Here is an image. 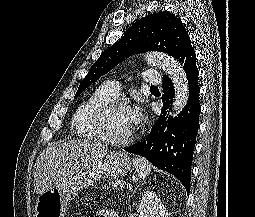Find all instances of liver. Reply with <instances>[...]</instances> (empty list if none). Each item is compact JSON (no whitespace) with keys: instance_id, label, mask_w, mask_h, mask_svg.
<instances>
[{"instance_id":"6515ba94","label":"liver","mask_w":255,"mask_h":217,"mask_svg":"<svg viewBox=\"0 0 255 217\" xmlns=\"http://www.w3.org/2000/svg\"><path fill=\"white\" fill-rule=\"evenodd\" d=\"M107 155V146L86 140L47 147L34 167V192L41 194L60 186L69 177L88 169Z\"/></svg>"}]
</instances>
